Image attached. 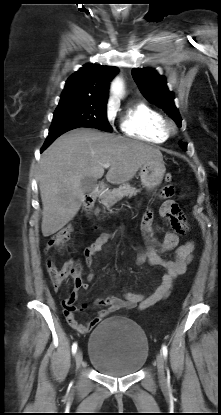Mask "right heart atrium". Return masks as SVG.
Segmentation results:
<instances>
[{"label": "right heart atrium", "mask_w": 221, "mask_h": 415, "mask_svg": "<svg viewBox=\"0 0 221 415\" xmlns=\"http://www.w3.org/2000/svg\"><path fill=\"white\" fill-rule=\"evenodd\" d=\"M116 117V109L114 104L109 103L105 110V118L108 123H112Z\"/></svg>", "instance_id": "obj_1"}]
</instances>
